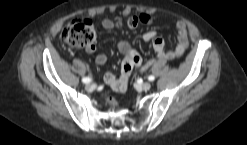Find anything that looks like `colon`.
I'll use <instances>...</instances> for the list:
<instances>
[{
	"label": "colon",
	"mask_w": 247,
	"mask_h": 145,
	"mask_svg": "<svg viewBox=\"0 0 247 145\" xmlns=\"http://www.w3.org/2000/svg\"><path fill=\"white\" fill-rule=\"evenodd\" d=\"M149 23V18L146 15H139L130 17L126 21V25L129 28H135L140 25ZM61 39L67 45L75 48H87L91 46L96 39V32L93 23L87 18H78L66 25L61 32ZM137 61L135 55L128 58L122 64V70L124 77H129V70L133 63Z\"/></svg>",
	"instance_id": "obj_1"
}]
</instances>
